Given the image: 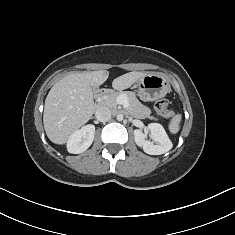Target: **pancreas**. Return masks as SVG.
<instances>
[{
  "mask_svg": "<svg viewBox=\"0 0 235 235\" xmlns=\"http://www.w3.org/2000/svg\"><path fill=\"white\" fill-rule=\"evenodd\" d=\"M121 95L125 96L128 100L129 107L127 112L131 116L140 119L149 117L150 119L157 120L156 118L150 116L151 110L141 104V102L136 98L135 93L131 91L109 93L103 97L102 103L111 109H116L118 104L117 98Z\"/></svg>",
  "mask_w": 235,
  "mask_h": 235,
  "instance_id": "1",
  "label": "pancreas"
}]
</instances>
